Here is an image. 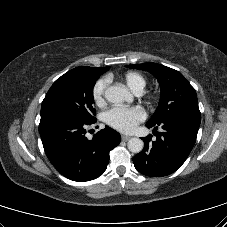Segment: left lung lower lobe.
Returning a JSON list of instances; mask_svg holds the SVG:
<instances>
[{
  "label": "left lung lower lobe",
  "instance_id": "1",
  "mask_svg": "<svg viewBox=\"0 0 227 227\" xmlns=\"http://www.w3.org/2000/svg\"><path fill=\"white\" fill-rule=\"evenodd\" d=\"M201 117L182 116L165 120L148 128L162 126L155 141L151 135L143 138L144 149L133 157L135 168L142 174L162 177L175 172L187 159L197 137Z\"/></svg>",
  "mask_w": 227,
  "mask_h": 227
}]
</instances>
